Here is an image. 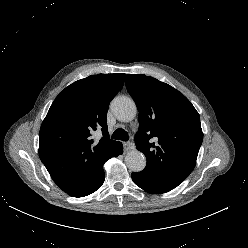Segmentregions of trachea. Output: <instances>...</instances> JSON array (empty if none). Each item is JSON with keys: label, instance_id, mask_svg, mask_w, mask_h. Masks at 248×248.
Segmentation results:
<instances>
[{"label": "trachea", "instance_id": "1", "mask_svg": "<svg viewBox=\"0 0 248 248\" xmlns=\"http://www.w3.org/2000/svg\"><path fill=\"white\" fill-rule=\"evenodd\" d=\"M112 139L128 141L129 136H128V133L124 129L118 128L113 132Z\"/></svg>", "mask_w": 248, "mask_h": 248}]
</instances>
